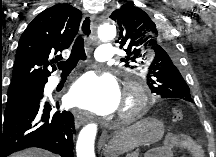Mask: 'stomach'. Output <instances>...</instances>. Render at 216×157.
<instances>
[{
	"mask_svg": "<svg viewBox=\"0 0 216 157\" xmlns=\"http://www.w3.org/2000/svg\"><path fill=\"white\" fill-rule=\"evenodd\" d=\"M164 134L162 122L147 118L117 131L104 146L106 155H119L140 145H149L161 140Z\"/></svg>",
	"mask_w": 216,
	"mask_h": 157,
	"instance_id": "obj_1",
	"label": "stomach"
}]
</instances>
